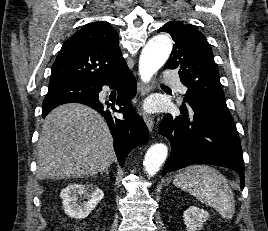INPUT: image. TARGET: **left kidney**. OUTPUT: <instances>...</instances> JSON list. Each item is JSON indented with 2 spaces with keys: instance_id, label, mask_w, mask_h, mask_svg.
<instances>
[{
  "instance_id": "left-kidney-1",
  "label": "left kidney",
  "mask_w": 268,
  "mask_h": 231,
  "mask_svg": "<svg viewBox=\"0 0 268 231\" xmlns=\"http://www.w3.org/2000/svg\"><path fill=\"white\" fill-rule=\"evenodd\" d=\"M187 231H196L203 227V223L209 218V213L196 206H190L183 214Z\"/></svg>"
}]
</instances>
